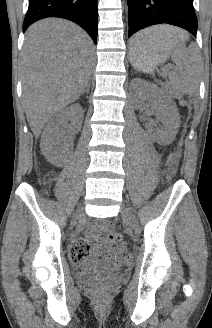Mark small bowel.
I'll list each match as a JSON object with an SVG mask.
<instances>
[{"label": "small bowel", "mask_w": 212, "mask_h": 328, "mask_svg": "<svg viewBox=\"0 0 212 328\" xmlns=\"http://www.w3.org/2000/svg\"><path fill=\"white\" fill-rule=\"evenodd\" d=\"M98 229L96 226H89L86 230V239H75L72 242L70 251L71 256L75 255L79 261L84 260L91 252H98L105 263L104 268L117 269L121 265L122 253L118 252L114 247L98 241Z\"/></svg>", "instance_id": "obj_1"}]
</instances>
